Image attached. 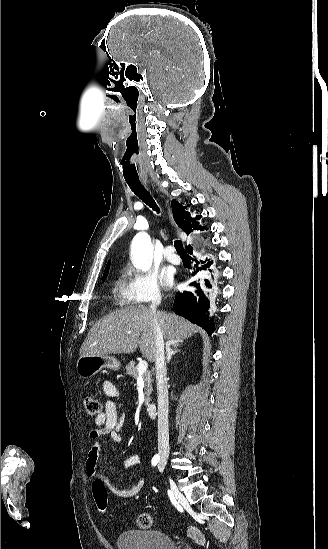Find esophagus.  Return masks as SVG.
<instances>
[{"instance_id":"esophagus-1","label":"esophagus","mask_w":328,"mask_h":549,"mask_svg":"<svg viewBox=\"0 0 328 549\" xmlns=\"http://www.w3.org/2000/svg\"><path fill=\"white\" fill-rule=\"evenodd\" d=\"M143 182H144V183L146 184V183H147V180H143ZM168 214H169V217L171 218V217H172V215H171V212H170V210L168 211Z\"/></svg>"}]
</instances>
